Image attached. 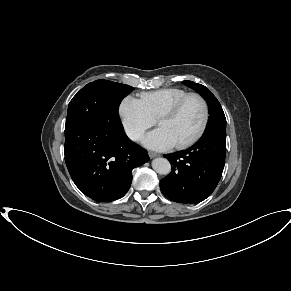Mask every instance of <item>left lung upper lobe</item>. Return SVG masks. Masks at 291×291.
<instances>
[{
  "instance_id": "1",
  "label": "left lung upper lobe",
  "mask_w": 291,
  "mask_h": 291,
  "mask_svg": "<svg viewBox=\"0 0 291 291\" xmlns=\"http://www.w3.org/2000/svg\"><path fill=\"white\" fill-rule=\"evenodd\" d=\"M184 84L199 93L208 103L210 116L203 135L209 133L226 134V118L215 96L201 84L192 81H184Z\"/></svg>"
}]
</instances>
